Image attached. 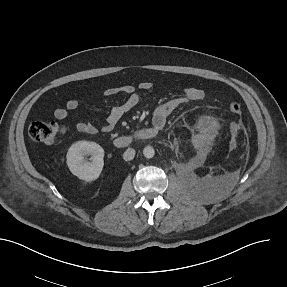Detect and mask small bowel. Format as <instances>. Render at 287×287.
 <instances>
[{
	"mask_svg": "<svg viewBox=\"0 0 287 287\" xmlns=\"http://www.w3.org/2000/svg\"><path fill=\"white\" fill-rule=\"evenodd\" d=\"M151 89V83L147 81L140 82L136 85L128 84L123 86H112L104 90V95L115 96L123 94L126 96L124 101L111 108L106 122L101 127L102 132L108 133L114 129L117 123L124 115L132 111L140 102L141 92ZM204 91L195 86L185 87L182 93L175 96L161 105H159L152 114V124L158 130L164 128L170 115L181 105L197 102L204 98ZM79 107L76 99H70L64 106L58 107L54 111V116L58 120H65L69 113ZM76 128L79 132L85 134H95L98 131L96 125L86 121H78Z\"/></svg>",
	"mask_w": 287,
	"mask_h": 287,
	"instance_id": "obj_1",
	"label": "small bowel"
}]
</instances>
